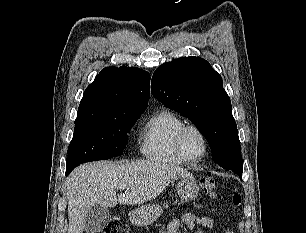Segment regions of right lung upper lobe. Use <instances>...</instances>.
<instances>
[{"label": "right lung upper lobe", "mask_w": 306, "mask_h": 233, "mask_svg": "<svg viewBox=\"0 0 306 233\" xmlns=\"http://www.w3.org/2000/svg\"><path fill=\"white\" fill-rule=\"evenodd\" d=\"M150 97V76L135 67H106L84 91L79 109L144 112Z\"/></svg>", "instance_id": "1"}]
</instances>
